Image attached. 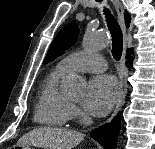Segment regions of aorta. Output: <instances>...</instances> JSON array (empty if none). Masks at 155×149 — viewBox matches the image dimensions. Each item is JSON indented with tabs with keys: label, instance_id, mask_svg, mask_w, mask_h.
I'll use <instances>...</instances> for the list:
<instances>
[{
	"label": "aorta",
	"instance_id": "1",
	"mask_svg": "<svg viewBox=\"0 0 155 149\" xmlns=\"http://www.w3.org/2000/svg\"><path fill=\"white\" fill-rule=\"evenodd\" d=\"M108 35L96 31L93 27L88 26L83 36L82 46L85 51L92 52L100 50L109 44ZM85 82L78 76L67 78L63 84L65 94L80 97L84 92Z\"/></svg>",
	"mask_w": 155,
	"mask_h": 149
}]
</instances>
